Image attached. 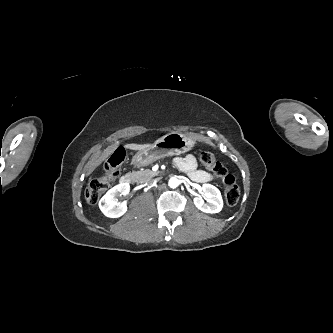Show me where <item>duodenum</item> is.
<instances>
[{"label": "duodenum", "instance_id": "410a0bca", "mask_svg": "<svg viewBox=\"0 0 333 333\" xmlns=\"http://www.w3.org/2000/svg\"><path fill=\"white\" fill-rule=\"evenodd\" d=\"M135 179V175L132 173H127L120 178L122 184H131Z\"/></svg>", "mask_w": 333, "mask_h": 333}]
</instances>
